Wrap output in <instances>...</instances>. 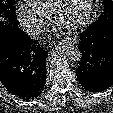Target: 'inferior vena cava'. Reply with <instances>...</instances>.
Returning <instances> with one entry per match:
<instances>
[{
    "label": "inferior vena cava",
    "instance_id": "602c4592",
    "mask_svg": "<svg viewBox=\"0 0 113 113\" xmlns=\"http://www.w3.org/2000/svg\"><path fill=\"white\" fill-rule=\"evenodd\" d=\"M39 33H41V26L39 24H33L28 29V34L31 36H37Z\"/></svg>",
    "mask_w": 113,
    "mask_h": 113
}]
</instances>
